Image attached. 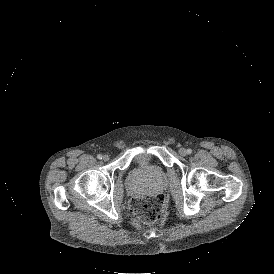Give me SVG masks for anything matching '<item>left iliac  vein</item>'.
<instances>
[{"label":"left iliac vein","instance_id":"left-iliac-vein-1","mask_svg":"<svg viewBox=\"0 0 274 274\" xmlns=\"http://www.w3.org/2000/svg\"><path fill=\"white\" fill-rule=\"evenodd\" d=\"M179 154L181 155V156H186L187 155V150L185 149V148H180L179 149Z\"/></svg>","mask_w":274,"mask_h":274}]
</instances>
